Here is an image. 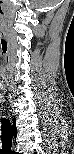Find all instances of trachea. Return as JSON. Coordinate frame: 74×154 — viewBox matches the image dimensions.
Masks as SVG:
<instances>
[{"mask_svg": "<svg viewBox=\"0 0 74 154\" xmlns=\"http://www.w3.org/2000/svg\"><path fill=\"white\" fill-rule=\"evenodd\" d=\"M2 139L12 141L11 123L7 119H2Z\"/></svg>", "mask_w": 74, "mask_h": 154, "instance_id": "trachea-1", "label": "trachea"}]
</instances>
